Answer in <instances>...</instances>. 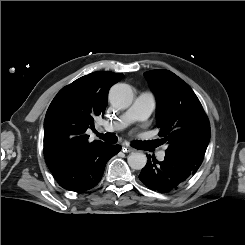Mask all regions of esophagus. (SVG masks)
I'll list each match as a JSON object with an SVG mask.
<instances>
[{"mask_svg":"<svg viewBox=\"0 0 245 245\" xmlns=\"http://www.w3.org/2000/svg\"><path fill=\"white\" fill-rule=\"evenodd\" d=\"M122 151L123 152H132V151H134L132 148H130V147H128V146H123L122 147Z\"/></svg>","mask_w":245,"mask_h":245,"instance_id":"34e87169","label":"esophagus"}]
</instances>
